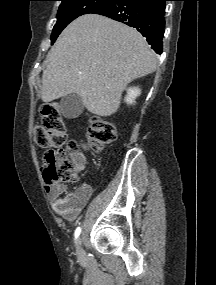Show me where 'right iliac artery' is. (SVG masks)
<instances>
[{
	"label": "right iliac artery",
	"mask_w": 216,
	"mask_h": 285,
	"mask_svg": "<svg viewBox=\"0 0 216 285\" xmlns=\"http://www.w3.org/2000/svg\"><path fill=\"white\" fill-rule=\"evenodd\" d=\"M80 233H81V228L77 227L76 230H75V235H74L75 239H77L79 237Z\"/></svg>",
	"instance_id": "right-iliac-artery-1"
}]
</instances>
